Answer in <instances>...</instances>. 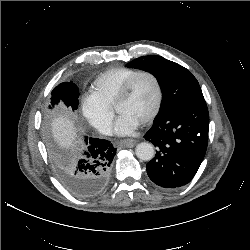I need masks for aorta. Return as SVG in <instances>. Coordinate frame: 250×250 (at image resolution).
<instances>
[{"instance_id": "762f6f07", "label": "aorta", "mask_w": 250, "mask_h": 250, "mask_svg": "<svg viewBox=\"0 0 250 250\" xmlns=\"http://www.w3.org/2000/svg\"><path fill=\"white\" fill-rule=\"evenodd\" d=\"M136 156L144 161L153 159L155 150L152 144L148 142L139 143L135 149Z\"/></svg>"}]
</instances>
